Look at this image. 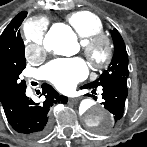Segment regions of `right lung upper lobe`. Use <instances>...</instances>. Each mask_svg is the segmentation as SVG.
<instances>
[{"label": "right lung upper lobe", "mask_w": 147, "mask_h": 147, "mask_svg": "<svg viewBox=\"0 0 147 147\" xmlns=\"http://www.w3.org/2000/svg\"><path fill=\"white\" fill-rule=\"evenodd\" d=\"M20 14L17 15L5 28L0 37V65L5 61L9 51V37L16 31V25Z\"/></svg>", "instance_id": "1"}]
</instances>
